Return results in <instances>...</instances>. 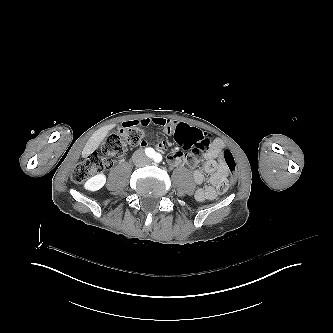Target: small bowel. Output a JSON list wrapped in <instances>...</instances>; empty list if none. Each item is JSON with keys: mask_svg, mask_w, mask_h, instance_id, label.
I'll return each mask as SVG.
<instances>
[{"mask_svg": "<svg viewBox=\"0 0 333 333\" xmlns=\"http://www.w3.org/2000/svg\"><path fill=\"white\" fill-rule=\"evenodd\" d=\"M132 123L142 127L157 126L168 132H174L178 127L184 126L182 123L165 117H146ZM198 133L203 135L201 132ZM140 145L143 149L152 145L163 150L168 149V144L165 142L158 144L155 142L152 144L147 140H142ZM225 147V143L222 140L214 139L210 148L205 153L203 166L196 169L193 173V180L197 185H201L205 181V175L209 176L207 180L208 184L198 188L195 192V199L198 202L215 200L222 193L220 185L225 181L230 172L228 165L222 160V153ZM166 161L171 166H183L187 163V156L181 151L173 150L167 154Z\"/></svg>", "mask_w": 333, "mask_h": 333, "instance_id": "1", "label": "small bowel"}]
</instances>
